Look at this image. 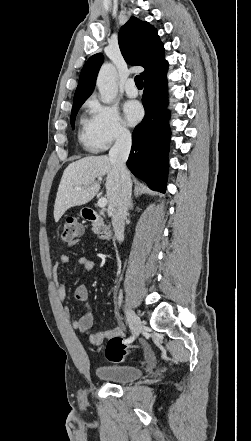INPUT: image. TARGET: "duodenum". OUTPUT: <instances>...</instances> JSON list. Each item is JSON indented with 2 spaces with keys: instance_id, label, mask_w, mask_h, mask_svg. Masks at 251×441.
<instances>
[{
  "instance_id": "1",
  "label": "duodenum",
  "mask_w": 251,
  "mask_h": 441,
  "mask_svg": "<svg viewBox=\"0 0 251 441\" xmlns=\"http://www.w3.org/2000/svg\"><path fill=\"white\" fill-rule=\"evenodd\" d=\"M83 217L95 225L98 237L103 241H109L112 237L110 226L104 222L102 217L93 209L85 208L83 210Z\"/></svg>"
}]
</instances>
